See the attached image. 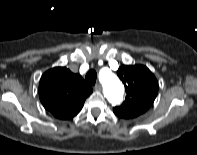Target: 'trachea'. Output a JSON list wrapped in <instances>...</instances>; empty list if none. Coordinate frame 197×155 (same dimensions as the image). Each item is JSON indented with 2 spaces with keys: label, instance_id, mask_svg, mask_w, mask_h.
<instances>
[{
  "label": "trachea",
  "instance_id": "trachea-1",
  "mask_svg": "<svg viewBox=\"0 0 197 155\" xmlns=\"http://www.w3.org/2000/svg\"><path fill=\"white\" fill-rule=\"evenodd\" d=\"M86 81L90 84V85H94L96 83V79H97V73L95 70H89L85 76Z\"/></svg>",
  "mask_w": 197,
  "mask_h": 155
}]
</instances>
